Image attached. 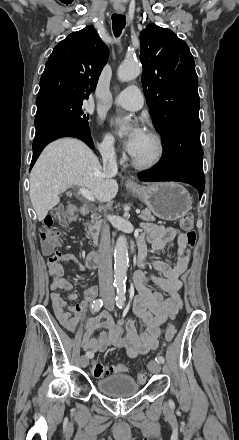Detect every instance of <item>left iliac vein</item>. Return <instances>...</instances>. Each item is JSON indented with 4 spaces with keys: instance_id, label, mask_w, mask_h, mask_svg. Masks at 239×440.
Listing matches in <instances>:
<instances>
[{
    "instance_id": "left-iliac-vein-1",
    "label": "left iliac vein",
    "mask_w": 239,
    "mask_h": 440,
    "mask_svg": "<svg viewBox=\"0 0 239 440\" xmlns=\"http://www.w3.org/2000/svg\"><path fill=\"white\" fill-rule=\"evenodd\" d=\"M106 307L108 309L112 310L113 309V302L111 300L107 301ZM147 366H148V369L151 373L157 374L161 371V365L154 360L150 361Z\"/></svg>"
}]
</instances>
